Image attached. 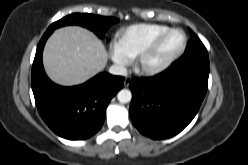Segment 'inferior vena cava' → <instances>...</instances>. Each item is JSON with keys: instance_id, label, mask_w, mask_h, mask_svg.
I'll list each match as a JSON object with an SVG mask.
<instances>
[{"instance_id": "obj_1", "label": "inferior vena cava", "mask_w": 248, "mask_h": 165, "mask_svg": "<svg viewBox=\"0 0 248 165\" xmlns=\"http://www.w3.org/2000/svg\"><path fill=\"white\" fill-rule=\"evenodd\" d=\"M109 73H111L113 75L126 76L127 75V69L121 65H112L109 68Z\"/></svg>"}]
</instances>
